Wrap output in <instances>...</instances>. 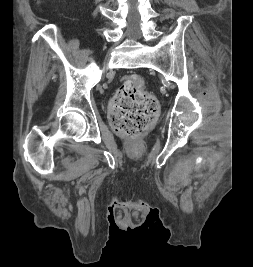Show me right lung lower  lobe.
<instances>
[{
  "label": "right lung lower lobe",
  "mask_w": 253,
  "mask_h": 267,
  "mask_svg": "<svg viewBox=\"0 0 253 267\" xmlns=\"http://www.w3.org/2000/svg\"><path fill=\"white\" fill-rule=\"evenodd\" d=\"M150 216H152V217H158V210H152L150 212Z\"/></svg>",
  "instance_id": "1"
}]
</instances>
